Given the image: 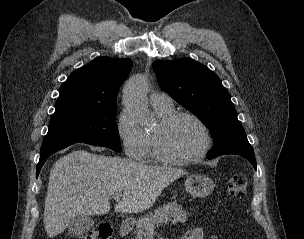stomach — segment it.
Masks as SVG:
<instances>
[{
    "instance_id": "1",
    "label": "stomach",
    "mask_w": 304,
    "mask_h": 239,
    "mask_svg": "<svg viewBox=\"0 0 304 239\" xmlns=\"http://www.w3.org/2000/svg\"><path fill=\"white\" fill-rule=\"evenodd\" d=\"M186 191L193 197H206L215 188L213 180L201 174H194L185 180Z\"/></svg>"
}]
</instances>
